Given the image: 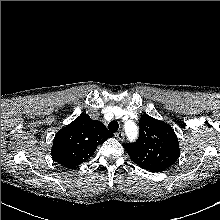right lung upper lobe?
I'll list each match as a JSON object with an SVG mask.
<instances>
[{"instance_id": "right-lung-upper-lobe-1", "label": "right lung upper lobe", "mask_w": 220, "mask_h": 220, "mask_svg": "<svg viewBox=\"0 0 220 220\" xmlns=\"http://www.w3.org/2000/svg\"><path fill=\"white\" fill-rule=\"evenodd\" d=\"M113 137L105 125L81 114L55 135L51 155L65 167L75 168L91 157L97 146Z\"/></svg>"}]
</instances>
